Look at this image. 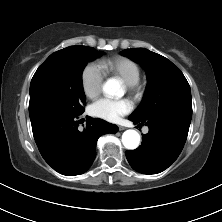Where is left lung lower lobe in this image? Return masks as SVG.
Instances as JSON below:
<instances>
[{"label": "left lung lower lobe", "mask_w": 222, "mask_h": 222, "mask_svg": "<svg viewBox=\"0 0 222 222\" xmlns=\"http://www.w3.org/2000/svg\"><path fill=\"white\" fill-rule=\"evenodd\" d=\"M129 119L134 124L145 123L149 127V132L142 138V145L126 152L131 167L144 174H156L167 169L184 147L190 121L177 113L148 119L129 116Z\"/></svg>", "instance_id": "0a47b994"}]
</instances>
